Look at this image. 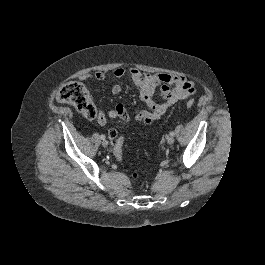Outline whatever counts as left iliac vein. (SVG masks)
I'll return each mask as SVG.
<instances>
[{
	"instance_id": "obj_1",
	"label": "left iliac vein",
	"mask_w": 265,
	"mask_h": 265,
	"mask_svg": "<svg viewBox=\"0 0 265 265\" xmlns=\"http://www.w3.org/2000/svg\"><path fill=\"white\" fill-rule=\"evenodd\" d=\"M174 141H175V139H174L173 136H168V137H167V143H168V144L172 145V144L174 143Z\"/></svg>"
}]
</instances>
